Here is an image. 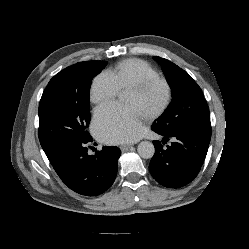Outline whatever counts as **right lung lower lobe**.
<instances>
[{"instance_id": "1", "label": "right lung lower lobe", "mask_w": 249, "mask_h": 249, "mask_svg": "<svg viewBox=\"0 0 249 249\" xmlns=\"http://www.w3.org/2000/svg\"><path fill=\"white\" fill-rule=\"evenodd\" d=\"M83 140H65L45 149V154L61 180L73 191L95 196L105 192L114 182L121 151L117 147H103L94 155L87 153Z\"/></svg>"}]
</instances>
